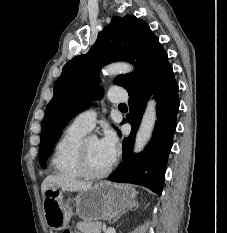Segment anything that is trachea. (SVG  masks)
<instances>
[{
	"mask_svg": "<svg viewBox=\"0 0 227 233\" xmlns=\"http://www.w3.org/2000/svg\"><path fill=\"white\" fill-rule=\"evenodd\" d=\"M119 106H126L125 104H119Z\"/></svg>",
	"mask_w": 227,
	"mask_h": 233,
	"instance_id": "1",
	"label": "trachea"
}]
</instances>
